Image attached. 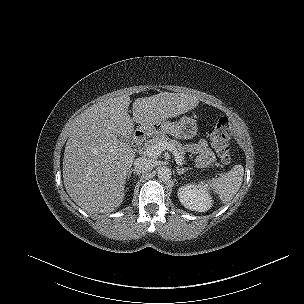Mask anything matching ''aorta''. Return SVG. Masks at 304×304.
Listing matches in <instances>:
<instances>
[{
    "label": "aorta",
    "instance_id": "aorta-1",
    "mask_svg": "<svg viewBox=\"0 0 304 304\" xmlns=\"http://www.w3.org/2000/svg\"><path fill=\"white\" fill-rule=\"evenodd\" d=\"M157 174H158L159 180L165 182V181H168L171 178L172 172L167 167H161V168H159Z\"/></svg>",
    "mask_w": 304,
    "mask_h": 304
}]
</instances>
